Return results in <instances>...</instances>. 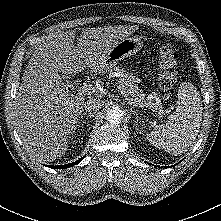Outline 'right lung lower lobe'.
I'll use <instances>...</instances> for the list:
<instances>
[{
  "label": "right lung lower lobe",
  "instance_id": "obj_1",
  "mask_svg": "<svg viewBox=\"0 0 221 221\" xmlns=\"http://www.w3.org/2000/svg\"><path fill=\"white\" fill-rule=\"evenodd\" d=\"M83 158H84V157H83ZM83 158L77 160L76 162L70 163V164L58 165V166L48 165V167L54 168V169H65V168H69V167H72V166H74L75 164L79 163Z\"/></svg>",
  "mask_w": 221,
  "mask_h": 221
}]
</instances>
